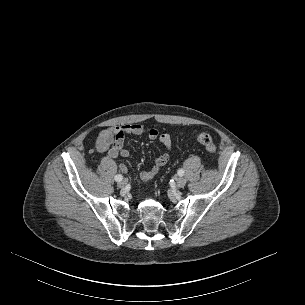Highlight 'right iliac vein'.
Returning a JSON list of instances; mask_svg holds the SVG:
<instances>
[{
	"label": "right iliac vein",
	"instance_id": "1",
	"mask_svg": "<svg viewBox=\"0 0 305 305\" xmlns=\"http://www.w3.org/2000/svg\"><path fill=\"white\" fill-rule=\"evenodd\" d=\"M126 184H127V181H126V180H122V181H120V182L118 183V187H119V188H124V187L126 186Z\"/></svg>",
	"mask_w": 305,
	"mask_h": 305
}]
</instances>
